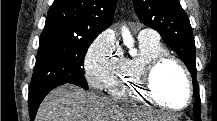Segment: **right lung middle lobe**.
I'll return each mask as SVG.
<instances>
[{
	"mask_svg": "<svg viewBox=\"0 0 217 121\" xmlns=\"http://www.w3.org/2000/svg\"><path fill=\"white\" fill-rule=\"evenodd\" d=\"M94 39L42 33L29 92L58 81L88 89L83 62Z\"/></svg>",
	"mask_w": 217,
	"mask_h": 121,
	"instance_id": "obj_1",
	"label": "right lung middle lobe"
}]
</instances>
